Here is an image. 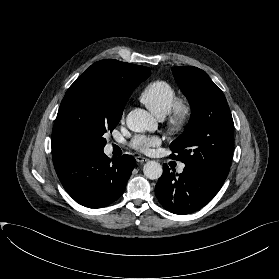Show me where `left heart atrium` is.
Instances as JSON below:
<instances>
[{
    "mask_svg": "<svg viewBox=\"0 0 279 279\" xmlns=\"http://www.w3.org/2000/svg\"><path fill=\"white\" fill-rule=\"evenodd\" d=\"M160 144V139L156 136L137 135L131 142L134 149L143 153L151 152L153 147Z\"/></svg>",
    "mask_w": 279,
    "mask_h": 279,
    "instance_id": "1",
    "label": "left heart atrium"
}]
</instances>
